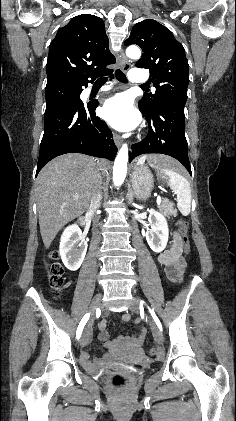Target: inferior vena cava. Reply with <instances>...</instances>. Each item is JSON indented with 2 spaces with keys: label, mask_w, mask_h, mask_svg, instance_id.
Wrapping results in <instances>:
<instances>
[{
  "label": "inferior vena cava",
  "mask_w": 236,
  "mask_h": 421,
  "mask_svg": "<svg viewBox=\"0 0 236 421\" xmlns=\"http://www.w3.org/2000/svg\"><path fill=\"white\" fill-rule=\"evenodd\" d=\"M100 168H96V170H94L95 172V178H96V184H95V188L92 192V196H91V202H90V211H99V208L101 206V200H102V194H101V180H102V176H101V172H99ZM93 221H97L96 217H94Z\"/></svg>",
  "instance_id": "obj_1"
}]
</instances>
